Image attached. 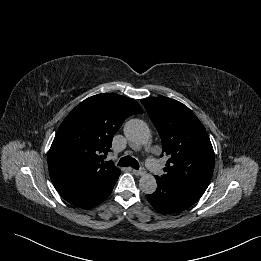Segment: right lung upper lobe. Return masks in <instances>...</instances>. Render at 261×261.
<instances>
[{
  "instance_id": "right-lung-upper-lobe-1",
  "label": "right lung upper lobe",
  "mask_w": 261,
  "mask_h": 261,
  "mask_svg": "<svg viewBox=\"0 0 261 261\" xmlns=\"http://www.w3.org/2000/svg\"><path fill=\"white\" fill-rule=\"evenodd\" d=\"M142 113L135 100L103 93L85 99L68 114L48 154L51 181L66 201L91 195L120 174L103 158L123 121Z\"/></svg>"
}]
</instances>
